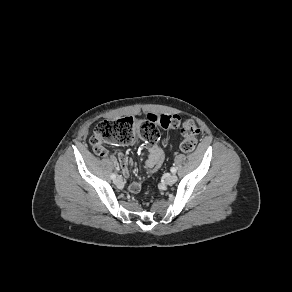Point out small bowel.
Wrapping results in <instances>:
<instances>
[{
  "label": "small bowel",
  "instance_id": "1",
  "mask_svg": "<svg viewBox=\"0 0 292 292\" xmlns=\"http://www.w3.org/2000/svg\"><path fill=\"white\" fill-rule=\"evenodd\" d=\"M143 148L147 149L149 152V156L145 162V169L148 172H152L157 170L164 160V152L162 148L156 144L151 142H145L142 145ZM101 156L111 157L113 158L112 154L107 150H103L102 153H98ZM132 164V161H129L123 153H118L115 158V166L121 170L122 174L125 177L130 175L129 165ZM141 182L140 181H133L129 184V191L132 193H138L141 189Z\"/></svg>",
  "mask_w": 292,
  "mask_h": 292
}]
</instances>
